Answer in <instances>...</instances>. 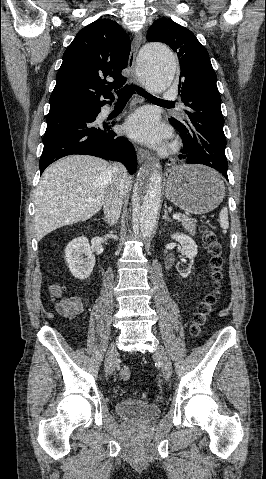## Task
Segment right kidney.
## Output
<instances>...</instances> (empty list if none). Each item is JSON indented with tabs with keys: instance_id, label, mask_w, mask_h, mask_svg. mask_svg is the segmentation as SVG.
<instances>
[{
	"instance_id": "obj_1",
	"label": "right kidney",
	"mask_w": 266,
	"mask_h": 479,
	"mask_svg": "<svg viewBox=\"0 0 266 479\" xmlns=\"http://www.w3.org/2000/svg\"><path fill=\"white\" fill-rule=\"evenodd\" d=\"M65 260L75 278L80 280L88 278L95 265V257L88 239L82 236L72 240L65 249Z\"/></svg>"
}]
</instances>
